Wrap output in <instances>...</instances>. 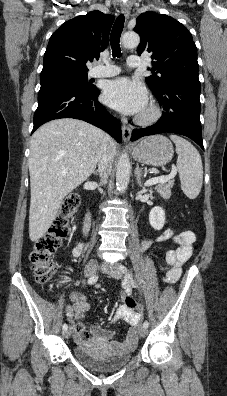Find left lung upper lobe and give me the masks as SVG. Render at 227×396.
Returning a JSON list of instances; mask_svg holds the SVG:
<instances>
[{"mask_svg":"<svg viewBox=\"0 0 227 396\" xmlns=\"http://www.w3.org/2000/svg\"><path fill=\"white\" fill-rule=\"evenodd\" d=\"M134 31L141 39L138 54L152 53L153 75L145 80L154 94L175 84L200 85L197 48L191 33L180 22L165 14L147 11L137 18Z\"/></svg>","mask_w":227,"mask_h":396,"instance_id":"1","label":"left lung upper lobe"}]
</instances>
